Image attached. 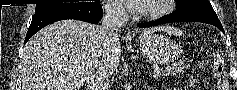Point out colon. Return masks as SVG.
Returning a JSON list of instances; mask_svg holds the SVG:
<instances>
[{"label":"colon","mask_w":237,"mask_h":90,"mask_svg":"<svg viewBox=\"0 0 237 90\" xmlns=\"http://www.w3.org/2000/svg\"><path fill=\"white\" fill-rule=\"evenodd\" d=\"M214 80L217 90H231L228 74L220 53H217L214 57Z\"/></svg>","instance_id":"1"}]
</instances>
